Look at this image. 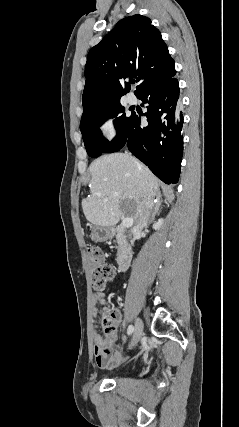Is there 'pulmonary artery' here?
Here are the masks:
<instances>
[{"label":"pulmonary artery","instance_id":"e3ab8cb5","mask_svg":"<svg viewBox=\"0 0 239 427\" xmlns=\"http://www.w3.org/2000/svg\"><path fill=\"white\" fill-rule=\"evenodd\" d=\"M127 101H128L129 104H135L136 101H137V99H136V97L133 94H129L127 96Z\"/></svg>","mask_w":239,"mask_h":427}]
</instances>
